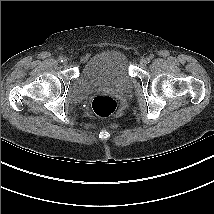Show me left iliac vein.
<instances>
[{
  "mask_svg": "<svg viewBox=\"0 0 214 214\" xmlns=\"http://www.w3.org/2000/svg\"><path fill=\"white\" fill-rule=\"evenodd\" d=\"M148 62H149V61H148V58H141V59H140V64H141V65H146V64H148Z\"/></svg>",
  "mask_w": 214,
  "mask_h": 214,
  "instance_id": "4c4485c4",
  "label": "left iliac vein"
}]
</instances>
